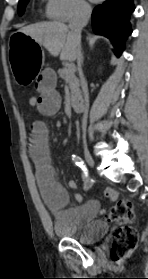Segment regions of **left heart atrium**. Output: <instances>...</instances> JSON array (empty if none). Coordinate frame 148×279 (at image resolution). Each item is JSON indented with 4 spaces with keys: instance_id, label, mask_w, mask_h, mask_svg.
<instances>
[{
    "instance_id": "39dd6f15",
    "label": "left heart atrium",
    "mask_w": 148,
    "mask_h": 279,
    "mask_svg": "<svg viewBox=\"0 0 148 279\" xmlns=\"http://www.w3.org/2000/svg\"><path fill=\"white\" fill-rule=\"evenodd\" d=\"M92 1L97 2V1H100V0H92Z\"/></svg>"
}]
</instances>
